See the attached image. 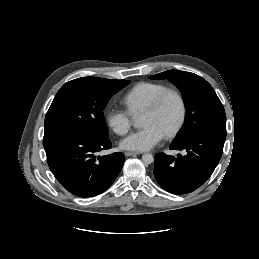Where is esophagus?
<instances>
[{"label":"esophagus","instance_id":"34e87169","mask_svg":"<svg viewBox=\"0 0 259 259\" xmlns=\"http://www.w3.org/2000/svg\"><path fill=\"white\" fill-rule=\"evenodd\" d=\"M139 154H141V153L140 152H131V151L125 152L126 156L139 155Z\"/></svg>","mask_w":259,"mask_h":259}]
</instances>
